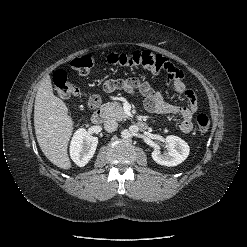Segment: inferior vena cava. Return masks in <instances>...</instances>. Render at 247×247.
Returning a JSON list of instances; mask_svg holds the SVG:
<instances>
[{
    "mask_svg": "<svg viewBox=\"0 0 247 247\" xmlns=\"http://www.w3.org/2000/svg\"><path fill=\"white\" fill-rule=\"evenodd\" d=\"M118 127V123L114 119H108L104 122V129L108 132H114Z\"/></svg>",
    "mask_w": 247,
    "mask_h": 247,
    "instance_id": "inferior-vena-cava-1",
    "label": "inferior vena cava"
}]
</instances>
